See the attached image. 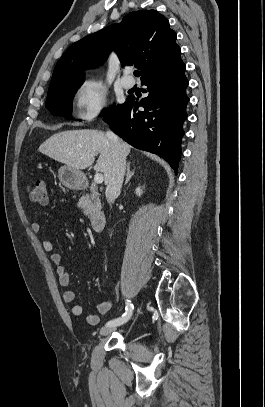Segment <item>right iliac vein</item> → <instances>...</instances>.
<instances>
[{
	"instance_id": "obj_1",
	"label": "right iliac vein",
	"mask_w": 265,
	"mask_h": 407,
	"mask_svg": "<svg viewBox=\"0 0 265 407\" xmlns=\"http://www.w3.org/2000/svg\"><path fill=\"white\" fill-rule=\"evenodd\" d=\"M116 328L112 326H105L100 330V334L105 336L113 332Z\"/></svg>"
}]
</instances>
